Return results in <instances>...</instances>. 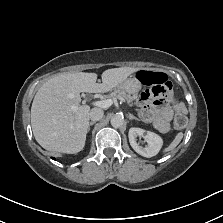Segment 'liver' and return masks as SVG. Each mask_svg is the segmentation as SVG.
I'll return each mask as SVG.
<instances>
[{"label": "liver", "instance_id": "1", "mask_svg": "<svg viewBox=\"0 0 223 223\" xmlns=\"http://www.w3.org/2000/svg\"><path fill=\"white\" fill-rule=\"evenodd\" d=\"M138 68L109 69L96 83V74H61L48 80L36 93L31 108L34 136L45 149L58 153L79 152L85 144L90 107L81 105L80 92H101L114 88ZM72 106L78 107L72 113Z\"/></svg>", "mask_w": 223, "mask_h": 223}]
</instances>
